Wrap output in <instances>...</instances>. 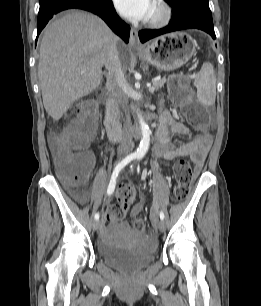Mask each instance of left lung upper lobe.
Returning a JSON list of instances; mask_svg holds the SVG:
<instances>
[{
  "label": "left lung upper lobe",
  "instance_id": "5c2ea615",
  "mask_svg": "<svg viewBox=\"0 0 261 306\" xmlns=\"http://www.w3.org/2000/svg\"><path fill=\"white\" fill-rule=\"evenodd\" d=\"M167 3H169L170 5H174L175 3H177L180 0H165Z\"/></svg>",
  "mask_w": 261,
  "mask_h": 306
}]
</instances>
